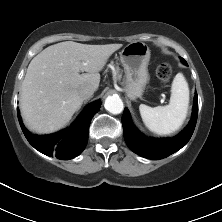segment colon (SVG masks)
Wrapping results in <instances>:
<instances>
[{"label": "colon", "instance_id": "obj_1", "mask_svg": "<svg viewBox=\"0 0 222 222\" xmlns=\"http://www.w3.org/2000/svg\"><path fill=\"white\" fill-rule=\"evenodd\" d=\"M173 74V68L170 63L163 62L157 68V76L162 82H168Z\"/></svg>", "mask_w": 222, "mask_h": 222}]
</instances>
